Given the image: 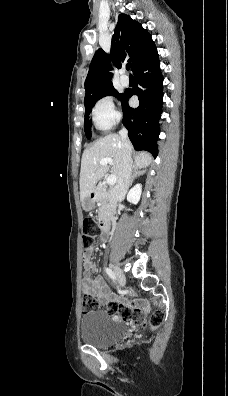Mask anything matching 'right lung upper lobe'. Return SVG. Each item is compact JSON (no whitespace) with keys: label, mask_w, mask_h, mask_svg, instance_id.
Wrapping results in <instances>:
<instances>
[{"label":"right lung upper lobe","mask_w":228,"mask_h":396,"mask_svg":"<svg viewBox=\"0 0 228 396\" xmlns=\"http://www.w3.org/2000/svg\"><path fill=\"white\" fill-rule=\"evenodd\" d=\"M153 47H155V44L148 31L140 23L131 19L130 16L120 14L112 36L110 56L100 48L92 59L85 80L86 95L84 100L105 88L113 86L110 60L117 68L121 67V62L127 60L134 72Z\"/></svg>","instance_id":"obj_1"}]
</instances>
